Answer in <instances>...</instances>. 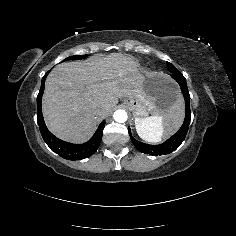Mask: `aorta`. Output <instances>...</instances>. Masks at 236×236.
Returning a JSON list of instances; mask_svg holds the SVG:
<instances>
[{"label":"aorta","mask_w":236,"mask_h":236,"mask_svg":"<svg viewBox=\"0 0 236 236\" xmlns=\"http://www.w3.org/2000/svg\"><path fill=\"white\" fill-rule=\"evenodd\" d=\"M113 117L116 122L124 123L126 122L128 116L124 110H117L115 111Z\"/></svg>","instance_id":"obj_1"}]
</instances>
